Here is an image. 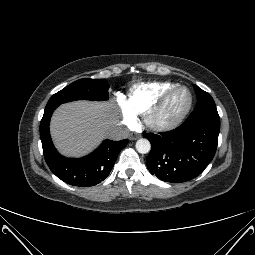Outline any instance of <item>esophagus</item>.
I'll use <instances>...</instances> for the list:
<instances>
[{
	"label": "esophagus",
	"mask_w": 255,
	"mask_h": 255,
	"mask_svg": "<svg viewBox=\"0 0 255 255\" xmlns=\"http://www.w3.org/2000/svg\"><path fill=\"white\" fill-rule=\"evenodd\" d=\"M141 137V135L140 134H138V133H131L130 135H129V139L130 140H137V139H139Z\"/></svg>",
	"instance_id": "esophagus-1"
}]
</instances>
